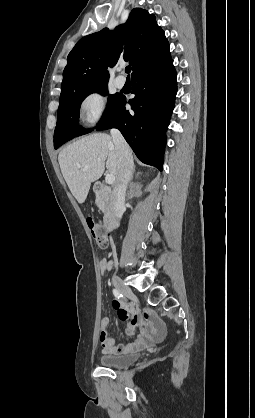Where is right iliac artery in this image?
<instances>
[{
  "mask_svg": "<svg viewBox=\"0 0 255 418\" xmlns=\"http://www.w3.org/2000/svg\"><path fill=\"white\" fill-rule=\"evenodd\" d=\"M113 294L117 299H120L122 297V294L117 289H113Z\"/></svg>",
  "mask_w": 255,
  "mask_h": 418,
  "instance_id": "82829eb1",
  "label": "right iliac artery"
}]
</instances>
